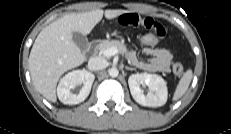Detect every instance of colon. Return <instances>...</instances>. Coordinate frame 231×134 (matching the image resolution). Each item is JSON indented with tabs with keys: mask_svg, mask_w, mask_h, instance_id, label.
Masks as SVG:
<instances>
[{
	"mask_svg": "<svg viewBox=\"0 0 231 134\" xmlns=\"http://www.w3.org/2000/svg\"><path fill=\"white\" fill-rule=\"evenodd\" d=\"M137 40L145 48L155 47L161 42L160 37H158L154 34H151V33L139 35ZM172 70H173L174 74L177 76H181L183 74V71H184L182 64L179 62H176L173 64Z\"/></svg>",
	"mask_w": 231,
	"mask_h": 134,
	"instance_id": "5ec220e1",
	"label": "colon"
}]
</instances>
